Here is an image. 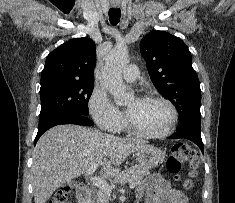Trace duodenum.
Returning <instances> with one entry per match:
<instances>
[{
  "instance_id": "1",
  "label": "duodenum",
  "mask_w": 235,
  "mask_h": 203,
  "mask_svg": "<svg viewBox=\"0 0 235 203\" xmlns=\"http://www.w3.org/2000/svg\"><path fill=\"white\" fill-rule=\"evenodd\" d=\"M77 203H90L91 199V189L87 185L81 186L77 190Z\"/></svg>"
}]
</instances>
